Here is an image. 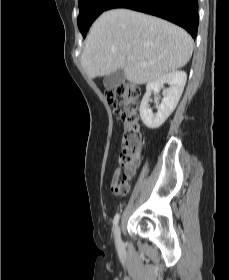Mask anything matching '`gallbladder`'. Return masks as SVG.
<instances>
[{"mask_svg":"<svg viewBox=\"0 0 229 280\" xmlns=\"http://www.w3.org/2000/svg\"><path fill=\"white\" fill-rule=\"evenodd\" d=\"M125 81V74L122 69H119L107 76L103 80L106 88H117Z\"/></svg>","mask_w":229,"mask_h":280,"instance_id":"gallbladder-1","label":"gallbladder"}]
</instances>
